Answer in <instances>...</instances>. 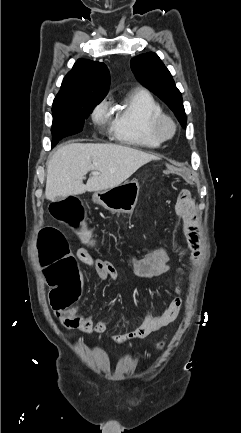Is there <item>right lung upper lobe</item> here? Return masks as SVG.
Masks as SVG:
<instances>
[{
  "label": "right lung upper lobe",
  "instance_id": "1",
  "mask_svg": "<svg viewBox=\"0 0 241 433\" xmlns=\"http://www.w3.org/2000/svg\"><path fill=\"white\" fill-rule=\"evenodd\" d=\"M109 84V70L104 63L79 59L65 76L54 102L102 101Z\"/></svg>",
  "mask_w": 241,
  "mask_h": 433
}]
</instances>
